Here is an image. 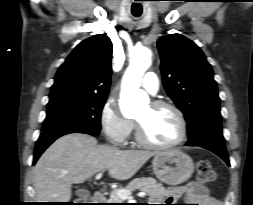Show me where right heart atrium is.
Instances as JSON below:
<instances>
[{
	"label": "right heart atrium",
	"mask_w": 253,
	"mask_h": 205,
	"mask_svg": "<svg viewBox=\"0 0 253 205\" xmlns=\"http://www.w3.org/2000/svg\"><path fill=\"white\" fill-rule=\"evenodd\" d=\"M99 122L106 139L115 146H123L129 139L133 122L120 114L112 100H107L100 111Z\"/></svg>",
	"instance_id": "right-heart-atrium-1"
}]
</instances>
